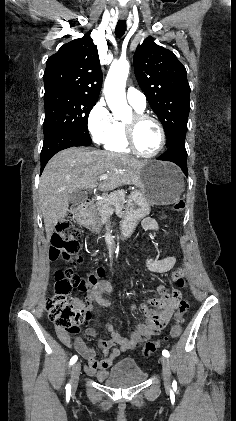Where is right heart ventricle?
<instances>
[{"instance_id": "1", "label": "right heart ventricle", "mask_w": 236, "mask_h": 421, "mask_svg": "<svg viewBox=\"0 0 236 421\" xmlns=\"http://www.w3.org/2000/svg\"><path fill=\"white\" fill-rule=\"evenodd\" d=\"M136 110L141 111L138 109ZM123 124V121L116 120V125L112 134L104 143V147L106 150L119 154L130 153V149L128 148L124 138Z\"/></svg>"}]
</instances>
